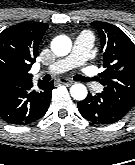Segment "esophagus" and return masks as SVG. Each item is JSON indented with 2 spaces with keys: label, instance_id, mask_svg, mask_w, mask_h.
Here are the masks:
<instances>
[{
  "label": "esophagus",
  "instance_id": "1",
  "mask_svg": "<svg viewBox=\"0 0 135 165\" xmlns=\"http://www.w3.org/2000/svg\"><path fill=\"white\" fill-rule=\"evenodd\" d=\"M58 81H59L61 84L67 85V86L73 84V81L70 80V79H67V78H60V79H58Z\"/></svg>",
  "mask_w": 135,
  "mask_h": 165
}]
</instances>
